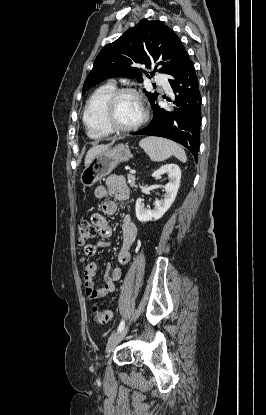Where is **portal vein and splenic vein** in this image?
<instances>
[{"label":"portal vein and splenic vein","instance_id":"18ae733b","mask_svg":"<svg viewBox=\"0 0 266 415\" xmlns=\"http://www.w3.org/2000/svg\"><path fill=\"white\" fill-rule=\"evenodd\" d=\"M136 171L135 170H130V174H135Z\"/></svg>","mask_w":266,"mask_h":415}]
</instances>
